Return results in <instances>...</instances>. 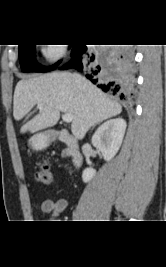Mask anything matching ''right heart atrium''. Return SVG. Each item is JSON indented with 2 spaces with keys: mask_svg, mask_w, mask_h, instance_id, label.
Instances as JSON below:
<instances>
[{
  "mask_svg": "<svg viewBox=\"0 0 166 267\" xmlns=\"http://www.w3.org/2000/svg\"><path fill=\"white\" fill-rule=\"evenodd\" d=\"M65 52L66 46L57 44H47L42 49L43 56L49 61H57Z\"/></svg>",
  "mask_w": 166,
  "mask_h": 267,
  "instance_id": "right-heart-atrium-1",
  "label": "right heart atrium"
}]
</instances>
